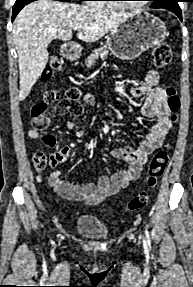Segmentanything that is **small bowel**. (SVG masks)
I'll use <instances>...</instances> for the list:
<instances>
[{
  "mask_svg": "<svg viewBox=\"0 0 193 287\" xmlns=\"http://www.w3.org/2000/svg\"><path fill=\"white\" fill-rule=\"evenodd\" d=\"M158 83L159 73L156 70L150 69L145 72L142 83L131 90L133 97H145L141 108V115L152 123L138 147L125 146L115 148L111 151V155L116 159L125 161L127 167L115 172L110 177L101 176L95 183L84 185L64 181L61 178V171L54 170L50 175L49 183L56 194L71 201L95 205L102 202L106 197L114 195L125 188L130 181L139 178L148 157L163 145L165 137L171 128L165 91L158 87ZM117 101H121V99L117 98ZM63 124L71 130L76 128L75 123L70 120H64ZM28 137L31 139L39 138V130L35 127L29 129ZM76 137L82 139L84 132L78 130ZM42 140L45 148L57 147L56 136L52 134L43 135ZM70 154L71 150L69 146H64L52 152L50 155V165L55 167L67 161Z\"/></svg>",
  "mask_w": 193,
  "mask_h": 287,
  "instance_id": "obj_1",
  "label": "small bowel"
}]
</instances>
